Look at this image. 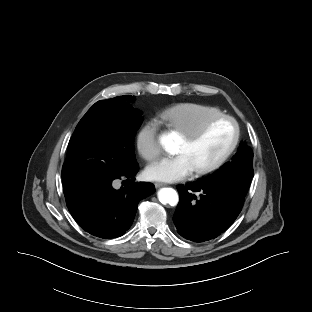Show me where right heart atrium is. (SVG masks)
Here are the masks:
<instances>
[{
	"label": "right heart atrium",
	"mask_w": 312,
	"mask_h": 312,
	"mask_svg": "<svg viewBox=\"0 0 312 312\" xmlns=\"http://www.w3.org/2000/svg\"><path fill=\"white\" fill-rule=\"evenodd\" d=\"M159 122L155 118L147 120L137 134V148L147 161L155 160L161 153L159 142Z\"/></svg>",
	"instance_id": "d8ad5b80"
}]
</instances>
